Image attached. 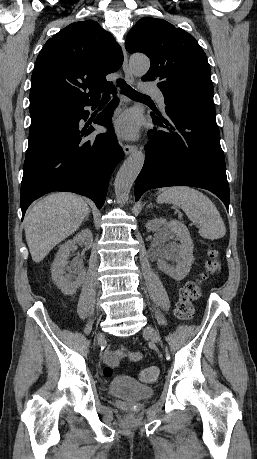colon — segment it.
Here are the masks:
<instances>
[{"label":"colon","mask_w":257,"mask_h":459,"mask_svg":"<svg viewBox=\"0 0 257 459\" xmlns=\"http://www.w3.org/2000/svg\"><path fill=\"white\" fill-rule=\"evenodd\" d=\"M220 269L219 254L214 248L209 251V260L205 272L197 280L186 283L179 292V299L176 304L175 314L183 321H190L194 317L195 309L193 302L199 297L202 286L211 276L218 273ZM106 378L113 375V368L106 366L103 370ZM159 371L156 367H147L140 371L139 378L143 382H153L158 377Z\"/></svg>","instance_id":"obj_1"}]
</instances>
